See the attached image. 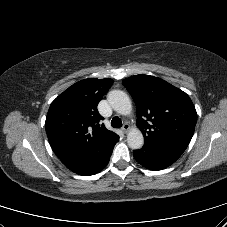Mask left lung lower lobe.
<instances>
[{
  "label": "left lung lower lobe",
  "mask_w": 227,
  "mask_h": 227,
  "mask_svg": "<svg viewBox=\"0 0 227 227\" xmlns=\"http://www.w3.org/2000/svg\"><path fill=\"white\" fill-rule=\"evenodd\" d=\"M182 153L161 146H146L134 150L135 160L150 170H162L173 164Z\"/></svg>",
  "instance_id": "0a47b994"
}]
</instances>
